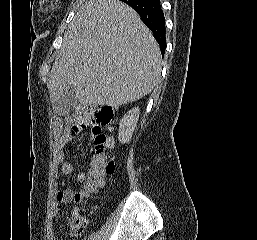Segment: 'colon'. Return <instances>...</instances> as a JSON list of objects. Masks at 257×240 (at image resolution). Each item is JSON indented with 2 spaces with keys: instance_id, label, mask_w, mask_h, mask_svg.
<instances>
[{
  "instance_id": "1",
  "label": "colon",
  "mask_w": 257,
  "mask_h": 240,
  "mask_svg": "<svg viewBox=\"0 0 257 240\" xmlns=\"http://www.w3.org/2000/svg\"><path fill=\"white\" fill-rule=\"evenodd\" d=\"M114 120V114L111 108L101 107L89 111V124L92 126L94 135L95 153L92 159V165L89 171L88 179L83 188L75 192L73 198L76 201L84 196L97 191L103 184L106 176L112 175L115 171V162L107 150L108 137L103 128L111 129ZM86 225L85 219L77 213L73 214V229L80 232Z\"/></svg>"
}]
</instances>
